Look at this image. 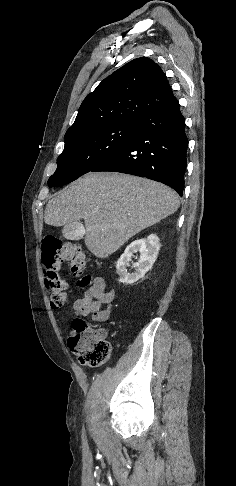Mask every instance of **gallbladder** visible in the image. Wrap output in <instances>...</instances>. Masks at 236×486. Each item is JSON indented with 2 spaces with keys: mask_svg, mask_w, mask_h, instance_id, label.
Wrapping results in <instances>:
<instances>
[{
  "mask_svg": "<svg viewBox=\"0 0 236 486\" xmlns=\"http://www.w3.org/2000/svg\"><path fill=\"white\" fill-rule=\"evenodd\" d=\"M84 227L80 222H72L64 225L62 233L68 240H79L83 236Z\"/></svg>",
  "mask_w": 236,
  "mask_h": 486,
  "instance_id": "bac80fb5",
  "label": "gallbladder"
}]
</instances>
